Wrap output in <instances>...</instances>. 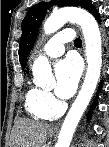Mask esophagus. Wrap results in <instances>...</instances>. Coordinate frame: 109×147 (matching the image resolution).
Instances as JSON below:
<instances>
[{
    "label": "esophagus",
    "mask_w": 109,
    "mask_h": 147,
    "mask_svg": "<svg viewBox=\"0 0 109 147\" xmlns=\"http://www.w3.org/2000/svg\"><path fill=\"white\" fill-rule=\"evenodd\" d=\"M76 30H77V33L81 36V35H82L81 30H80L79 28H76ZM83 52H84V47H83ZM60 124H61V121H59L58 123L54 124V125L52 126V128H53V129H58L59 126H60Z\"/></svg>",
    "instance_id": "1"
}]
</instances>
